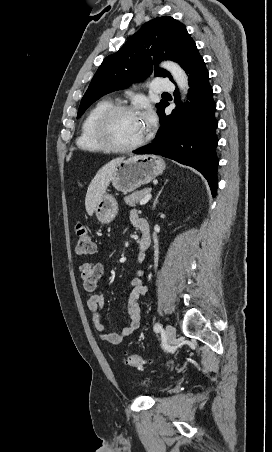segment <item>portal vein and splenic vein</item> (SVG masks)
<instances>
[{"instance_id": "18ae733b", "label": "portal vein and splenic vein", "mask_w": 272, "mask_h": 452, "mask_svg": "<svg viewBox=\"0 0 272 452\" xmlns=\"http://www.w3.org/2000/svg\"><path fill=\"white\" fill-rule=\"evenodd\" d=\"M152 195L149 193L147 194L141 201H140V205H145L150 199H151Z\"/></svg>"}]
</instances>
